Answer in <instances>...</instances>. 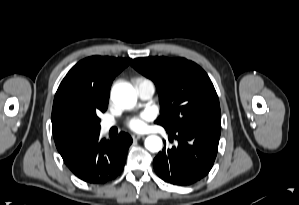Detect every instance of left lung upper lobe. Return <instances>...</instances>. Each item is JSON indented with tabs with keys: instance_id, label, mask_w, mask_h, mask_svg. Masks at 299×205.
I'll use <instances>...</instances> for the list:
<instances>
[{
	"instance_id": "1",
	"label": "left lung upper lobe",
	"mask_w": 299,
	"mask_h": 205,
	"mask_svg": "<svg viewBox=\"0 0 299 205\" xmlns=\"http://www.w3.org/2000/svg\"><path fill=\"white\" fill-rule=\"evenodd\" d=\"M151 79L158 90L160 116L167 129L221 122L217 93L206 72L185 58H136L131 64Z\"/></svg>"
}]
</instances>
